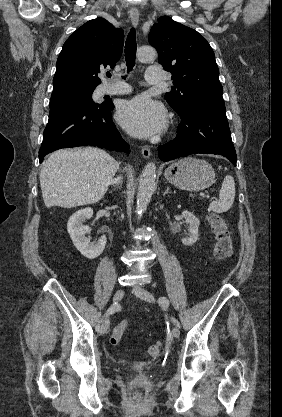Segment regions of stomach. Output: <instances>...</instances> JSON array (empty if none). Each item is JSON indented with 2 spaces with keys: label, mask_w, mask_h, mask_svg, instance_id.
<instances>
[{
  "label": "stomach",
  "mask_w": 282,
  "mask_h": 417,
  "mask_svg": "<svg viewBox=\"0 0 282 417\" xmlns=\"http://www.w3.org/2000/svg\"><path fill=\"white\" fill-rule=\"evenodd\" d=\"M165 178L183 190H204L215 182V170L207 160L186 156L172 162L164 172Z\"/></svg>",
  "instance_id": "1"
}]
</instances>
